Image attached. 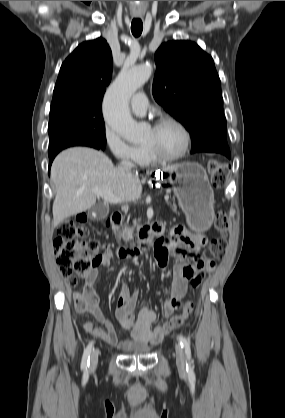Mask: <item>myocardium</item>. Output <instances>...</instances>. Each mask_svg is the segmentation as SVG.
Here are the masks:
<instances>
[{
	"instance_id": "myocardium-1",
	"label": "myocardium",
	"mask_w": 285,
	"mask_h": 418,
	"mask_svg": "<svg viewBox=\"0 0 285 418\" xmlns=\"http://www.w3.org/2000/svg\"><path fill=\"white\" fill-rule=\"evenodd\" d=\"M167 124H172V125L176 126L182 132L183 138H184L183 146H182V149L180 150V152L178 154H176L174 156L167 157V156L161 155L156 150H154L152 147L144 145V149H145L146 153L148 154V156L156 162L170 163V162L180 160L187 154V152L189 151V148H190V143H191L190 133H189L187 127L181 121H179V120H177L173 117H169V116L168 117H163V118L159 119L158 121H156L153 124L152 128L153 129H159L160 127H162L164 125H167Z\"/></svg>"
}]
</instances>
